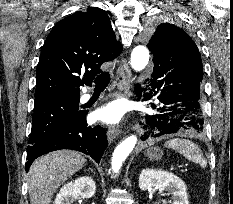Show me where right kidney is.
<instances>
[{"instance_id":"right-kidney-1","label":"right kidney","mask_w":233,"mask_h":204,"mask_svg":"<svg viewBox=\"0 0 233 204\" xmlns=\"http://www.w3.org/2000/svg\"><path fill=\"white\" fill-rule=\"evenodd\" d=\"M95 189L96 185L91 177H79L60 189L53 204H72L79 197L91 198Z\"/></svg>"}]
</instances>
